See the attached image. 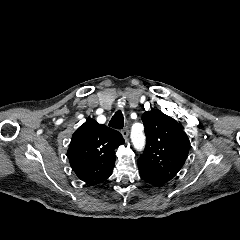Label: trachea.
<instances>
[{
	"label": "trachea",
	"instance_id": "obj_1",
	"mask_svg": "<svg viewBox=\"0 0 240 240\" xmlns=\"http://www.w3.org/2000/svg\"><path fill=\"white\" fill-rule=\"evenodd\" d=\"M109 126L115 129H122L124 126V117L122 112L117 111L109 122Z\"/></svg>",
	"mask_w": 240,
	"mask_h": 240
}]
</instances>
